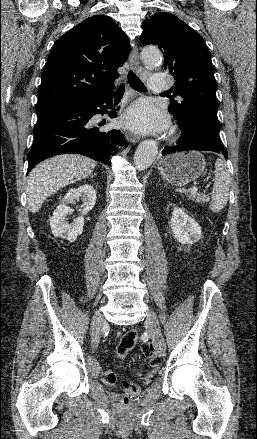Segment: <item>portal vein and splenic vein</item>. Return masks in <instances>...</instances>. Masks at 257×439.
Here are the masks:
<instances>
[{
	"instance_id": "obj_1",
	"label": "portal vein and splenic vein",
	"mask_w": 257,
	"mask_h": 439,
	"mask_svg": "<svg viewBox=\"0 0 257 439\" xmlns=\"http://www.w3.org/2000/svg\"><path fill=\"white\" fill-rule=\"evenodd\" d=\"M189 192H190L191 194H195V193L197 192V187H191V188L189 189Z\"/></svg>"
}]
</instances>
